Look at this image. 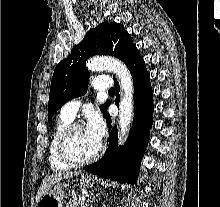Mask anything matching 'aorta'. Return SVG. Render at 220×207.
Masks as SVG:
<instances>
[{
    "instance_id": "obj_1",
    "label": "aorta",
    "mask_w": 220,
    "mask_h": 207,
    "mask_svg": "<svg viewBox=\"0 0 220 207\" xmlns=\"http://www.w3.org/2000/svg\"><path fill=\"white\" fill-rule=\"evenodd\" d=\"M87 67L91 71L109 70L118 77L122 92L119 104L118 137L119 144H123L128 136L130 124L133 120L134 84L132 76L122 61L110 56L91 58L87 62Z\"/></svg>"
}]
</instances>
